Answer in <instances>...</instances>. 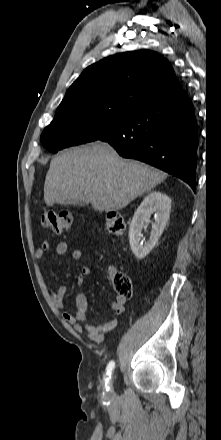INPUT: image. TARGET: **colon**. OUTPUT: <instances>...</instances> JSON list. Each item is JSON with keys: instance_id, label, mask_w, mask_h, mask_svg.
<instances>
[{"instance_id": "5ec220e1", "label": "colon", "mask_w": 221, "mask_h": 440, "mask_svg": "<svg viewBox=\"0 0 221 440\" xmlns=\"http://www.w3.org/2000/svg\"><path fill=\"white\" fill-rule=\"evenodd\" d=\"M41 222L45 228L55 233H66L72 228L73 215L70 210H62L59 212L48 210L42 214ZM104 222L106 230L114 236L122 235L125 232V221L117 212H108ZM111 279L113 288L118 297L125 299L132 297L133 287L128 275L122 272H114L111 274Z\"/></svg>"}]
</instances>
